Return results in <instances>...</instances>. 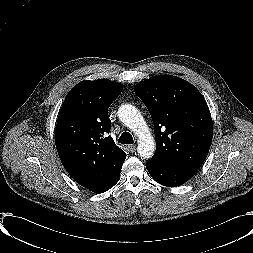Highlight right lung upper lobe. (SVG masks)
<instances>
[{"label":"right lung upper lobe","mask_w":253,"mask_h":253,"mask_svg":"<svg viewBox=\"0 0 253 253\" xmlns=\"http://www.w3.org/2000/svg\"><path fill=\"white\" fill-rule=\"evenodd\" d=\"M123 86L108 79L83 81L66 96L58 116L55 144L70 176L95 193L120 178L126 153L109 134L108 108Z\"/></svg>","instance_id":"1"}]
</instances>
